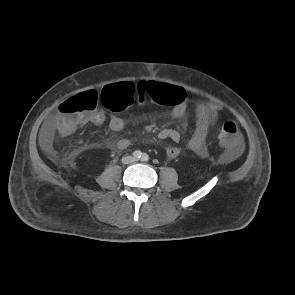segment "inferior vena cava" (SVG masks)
Returning <instances> with one entry per match:
<instances>
[{"label":"inferior vena cava","mask_w":295,"mask_h":295,"mask_svg":"<svg viewBox=\"0 0 295 295\" xmlns=\"http://www.w3.org/2000/svg\"><path fill=\"white\" fill-rule=\"evenodd\" d=\"M135 161V158L134 157H132V156H127V157H124L123 158V162L124 163H132V162H134Z\"/></svg>","instance_id":"602c4592"}]
</instances>
